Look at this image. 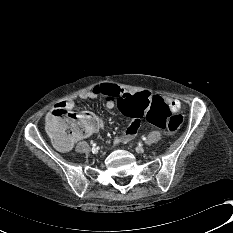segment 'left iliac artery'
<instances>
[{"label": "left iliac artery", "instance_id": "44dca946", "mask_svg": "<svg viewBox=\"0 0 233 233\" xmlns=\"http://www.w3.org/2000/svg\"><path fill=\"white\" fill-rule=\"evenodd\" d=\"M142 140H146V137H145V136H142Z\"/></svg>", "mask_w": 233, "mask_h": 233}]
</instances>
